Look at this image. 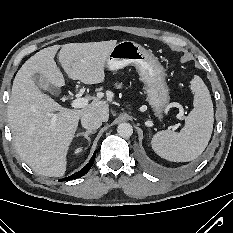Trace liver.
Segmentation results:
<instances>
[{"label": "liver", "mask_w": 233, "mask_h": 233, "mask_svg": "<svg viewBox=\"0 0 233 233\" xmlns=\"http://www.w3.org/2000/svg\"><path fill=\"white\" fill-rule=\"evenodd\" d=\"M116 44L117 41L110 40L47 47L30 57L17 72L7 106V119L16 151L35 173L63 176L80 118L94 113L107 122L109 105L107 101L94 99L79 110L63 108L39 90L33 76L39 74L55 87L64 86V77L54 60L61 47L59 62L69 78L88 85L102 83L108 55ZM54 114L57 118L53 123Z\"/></svg>", "instance_id": "6515ba94"}]
</instances>
